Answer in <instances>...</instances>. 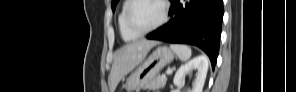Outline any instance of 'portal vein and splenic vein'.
<instances>
[{"label":"portal vein and splenic vein","instance_id":"obj_1","mask_svg":"<svg viewBox=\"0 0 296 92\" xmlns=\"http://www.w3.org/2000/svg\"><path fill=\"white\" fill-rule=\"evenodd\" d=\"M171 73H172V70L167 71V74H171ZM162 77H166V74H163Z\"/></svg>","mask_w":296,"mask_h":92}]
</instances>
